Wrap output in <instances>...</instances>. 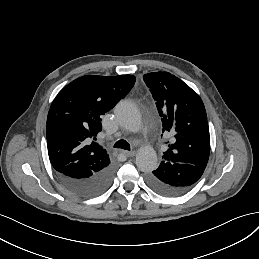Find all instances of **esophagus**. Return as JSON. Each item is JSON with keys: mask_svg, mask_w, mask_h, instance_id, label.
I'll use <instances>...</instances> for the list:
<instances>
[{"mask_svg": "<svg viewBox=\"0 0 259 259\" xmlns=\"http://www.w3.org/2000/svg\"><path fill=\"white\" fill-rule=\"evenodd\" d=\"M122 153L127 156V157H134L136 155V151L132 150V151H122Z\"/></svg>", "mask_w": 259, "mask_h": 259, "instance_id": "esophagus-1", "label": "esophagus"}]
</instances>
